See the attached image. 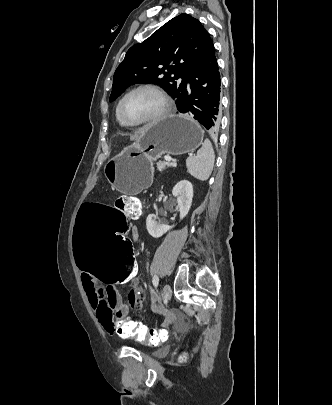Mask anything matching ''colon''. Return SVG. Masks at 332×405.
I'll use <instances>...</instances> for the list:
<instances>
[{
    "label": "colon",
    "mask_w": 332,
    "mask_h": 405,
    "mask_svg": "<svg viewBox=\"0 0 332 405\" xmlns=\"http://www.w3.org/2000/svg\"><path fill=\"white\" fill-rule=\"evenodd\" d=\"M141 201L130 195L108 202H82L77 220H72L74 257L83 275H95L105 287H124L135 281L138 266L134 259V240L128 227L126 212L139 214ZM121 342H134L143 351H157L169 333L168 325L138 322L136 316L125 313L116 321Z\"/></svg>",
    "instance_id": "obj_1"
}]
</instances>
